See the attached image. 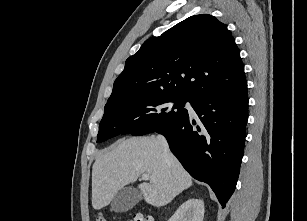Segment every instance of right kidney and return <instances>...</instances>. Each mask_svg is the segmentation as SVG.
<instances>
[{
  "mask_svg": "<svg viewBox=\"0 0 307 221\" xmlns=\"http://www.w3.org/2000/svg\"><path fill=\"white\" fill-rule=\"evenodd\" d=\"M204 202L201 199H188L168 221H203Z\"/></svg>",
  "mask_w": 307,
  "mask_h": 221,
  "instance_id": "ca27d5eb",
  "label": "right kidney"
}]
</instances>
